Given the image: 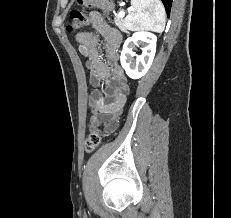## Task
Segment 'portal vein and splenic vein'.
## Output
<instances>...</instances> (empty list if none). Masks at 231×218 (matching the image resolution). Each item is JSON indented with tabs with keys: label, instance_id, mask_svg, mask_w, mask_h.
<instances>
[{
	"label": "portal vein and splenic vein",
	"instance_id": "18ae733b",
	"mask_svg": "<svg viewBox=\"0 0 231 218\" xmlns=\"http://www.w3.org/2000/svg\"><path fill=\"white\" fill-rule=\"evenodd\" d=\"M131 10H132V8L129 9V11H131ZM124 15H125V12H124V11H120V12L118 13V17H119V18L124 17Z\"/></svg>",
	"mask_w": 231,
	"mask_h": 218
}]
</instances>
